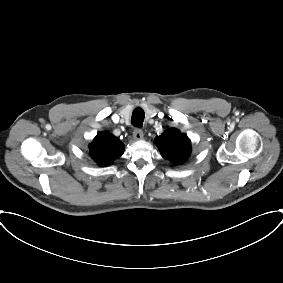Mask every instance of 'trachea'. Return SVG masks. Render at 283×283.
Masks as SVG:
<instances>
[{"label": "trachea", "instance_id": "3493384b", "mask_svg": "<svg viewBox=\"0 0 283 283\" xmlns=\"http://www.w3.org/2000/svg\"><path fill=\"white\" fill-rule=\"evenodd\" d=\"M144 121V111L140 108H136L131 117V124L133 126L141 128Z\"/></svg>", "mask_w": 283, "mask_h": 283}]
</instances>
